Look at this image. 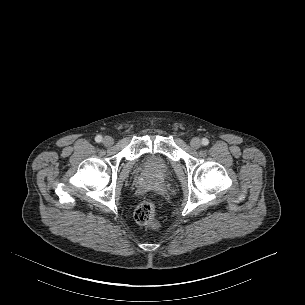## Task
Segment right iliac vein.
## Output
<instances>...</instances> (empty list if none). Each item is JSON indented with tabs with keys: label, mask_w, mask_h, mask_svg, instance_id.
I'll list each match as a JSON object with an SVG mask.
<instances>
[{
	"label": "right iliac vein",
	"mask_w": 305,
	"mask_h": 305,
	"mask_svg": "<svg viewBox=\"0 0 305 305\" xmlns=\"http://www.w3.org/2000/svg\"><path fill=\"white\" fill-rule=\"evenodd\" d=\"M113 143H114V140H113L112 137H110V136H105V137L103 138V144H104L105 146H111V145H113Z\"/></svg>",
	"instance_id": "obj_1"
}]
</instances>
